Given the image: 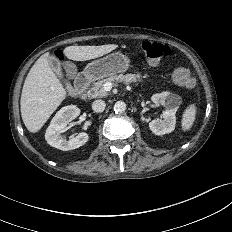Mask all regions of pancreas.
<instances>
[{"label": "pancreas", "instance_id": "pancreas-1", "mask_svg": "<svg viewBox=\"0 0 232 232\" xmlns=\"http://www.w3.org/2000/svg\"><path fill=\"white\" fill-rule=\"evenodd\" d=\"M140 79V74L110 75L102 80L94 82L89 90V96L91 98L107 96L108 92L104 89V84L107 82H124L126 84H129L132 82H138L140 81Z\"/></svg>", "mask_w": 232, "mask_h": 232}]
</instances>
